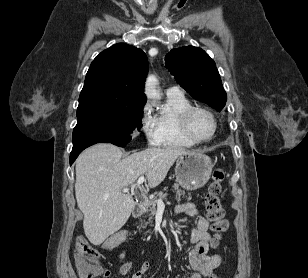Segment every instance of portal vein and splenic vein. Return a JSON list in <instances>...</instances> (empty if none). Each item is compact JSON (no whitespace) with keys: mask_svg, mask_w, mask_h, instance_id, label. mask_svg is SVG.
Here are the masks:
<instances>
[{"mask_svg":"<svg viewBox=\"0 0 308 278\" xmlns=\"http://www.w3.org/2000/svg\"><path fill=\"white\" fill-rule=\"evenodd\" d=\"M144 181H145V177H144V176H140V177L138 178L136 184L134 185V187H135V188H140V186L142 185V183H143ZM128 191H129L128 188L122 190V192H124V193H125V192H128ZM163 197H166V194H164ZM163 197H161V198H159V199L157 200V205H164L163 200H162Z\"/></svg>","mask_w":308,"mask_h":278,"instance_id":"18ae733b","label":"portal vein and splenic vein"}]
</instances>
